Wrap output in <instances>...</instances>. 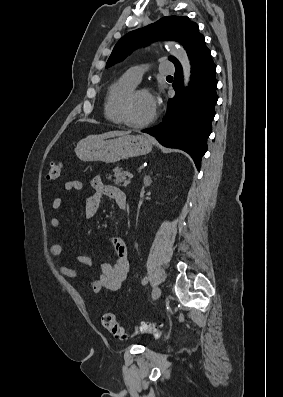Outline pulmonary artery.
<instances>
[{"mask_svg":"<svg viewBox=\"0 0 283 397\" xmlns=\"http://www.w3.org/2000/svg\"><path fill=\"white\" fill-rule=\"evenodd\" d=\"M159 71L162 74H172L174 73V66L168 61H162L159 66ZM143 73V67L133 66L126 71L125 75L134 83L138 84L142 78Z\"/></svg>","mask_w":283,"mask_h":397,"instance_id":"1","label":"pulmonary artery"}]
</instances>
